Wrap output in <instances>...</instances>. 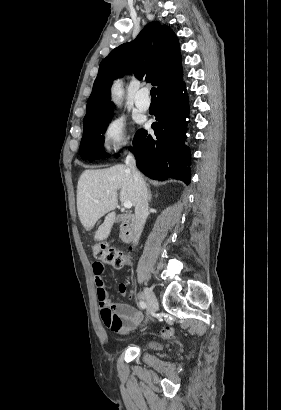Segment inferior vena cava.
<instances>
[{"label": "inferior vena cava", "mask_w": 281, "mask_h": 410, "mask_svg": "<svg viewBox=\"0 0 281 410\" xmlns=\"http://www.w3.org/2000/svg\"><path fill=\"white\" fill-rule=\"evenodd\" d=\"M131 171L136 189L135 222L133 226L132 243H138L148 214V192L142 175L136 168L135 157L129 153L125 160Z\"/></svg>", "instance_id": "602c4592"}]
</instances>
